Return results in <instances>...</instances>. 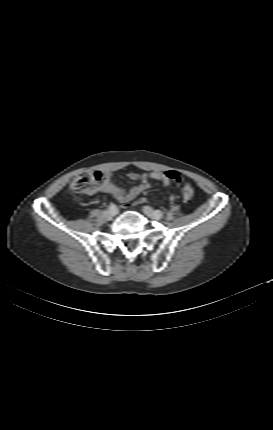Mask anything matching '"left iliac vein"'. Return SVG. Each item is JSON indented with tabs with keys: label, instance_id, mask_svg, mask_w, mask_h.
<instances>
[{
	"label": "left iliac vein",
	"instance_id": "1",
	"mask_svg": "<svg viewBox=\"0 0 273 430\" xmlns=\"http://www.w3.org/2000/svg\"><path fill=\"white\" fill-rule=\"evenodd\" d=\"M142 211L145 215H147L148 217L155 219V220H160L162 218V216H160L158 214L157 211H154L151 207L149 206H144L142 208Z\"/></svg>",
	"mask_w": 273,
	"mask_h": 430
}]
</instances>
